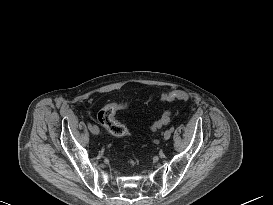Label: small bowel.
I'll list each match as a JSON object with an SVG mask.
<instances>
[{
	"mask_svg": "<svg viewBox=\"0 0 273 205\" xmlns=\"http://www.w3.org/2000/svg\"><path fill=\"white\" fill-rule=\"evenodd\" d=\"M150 100H151V98H148V99L146 100V103H148ZM120 104H124V103H120ZM125 105H126V107H124V108H127L128 105H127V104H125ZM122 109H123V108H122Z\"/></svg>",
	"mask_w": 273,
	"mask_h": 205,
	"instance_id": "small-bowel-1",
	"label": "small bowel"
}]
</instances>
